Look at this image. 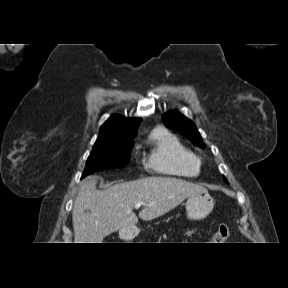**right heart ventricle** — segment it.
<instances>
[{"instance_id":"obj_1","label":"right heart ventricle","mask_w":288,"mask_h":288,"mask_svg":"<svg viewBox=\"0 0 288 288\" xmlns=\"http://www.w3.org/2000/svg\"><path fill=\"white\" fill-rule=\"evenodd\" d=\"M147 166L161 174L193 178L201 173L198 155L167 129H154L148 139Z\"/></svg>"}]
</instances>
